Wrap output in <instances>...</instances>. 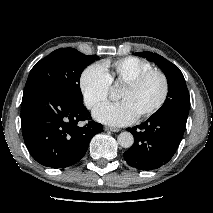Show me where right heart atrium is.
Segmentation results:
<instances>
[{
  "label": "right heart atrium",
  "instance_id": "d8ad5b80",
  "mask_svg": "<svg viewBox=\"0 0 213 213\" xmlns=\"http://www.w3.org/2000/svg\"><path fill=\"white\" fill-rule=\"evenodd\" d=\"M79 86L85 105L93 109L108 99L111 83L101 65L91 64L83 70Z\"/></svg>",
  "mask_w": 213,
  "mask_h": 213
}]
</instances>
